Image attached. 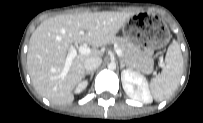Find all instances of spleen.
Here are the masks:
<instances>
[{
	"label": "spleen",
	"instance_id": "obj_1",
	"mask_svg": "<svg viewBox=\"0 0 203 123\" xmlns=\"http://www.w3.org/2000/svg\"><path fill=\"white\" fill-rule=\"evenodd\" d=\"M165 63L162 72L150 82V91L156 101H163L176 91L183 73V57L176 41L169 45Z\"/></svg>",
	"mask_w": 203,
	"mask_h": 123
}]
</instances>
